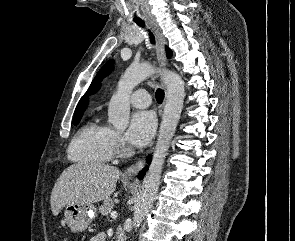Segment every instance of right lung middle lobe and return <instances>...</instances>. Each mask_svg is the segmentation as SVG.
Here are the masks:
<instances>
[{
    "instance_id": "1",
    "label": "right lung middle lobe",
    "mask_w": 295,
    "mask_h": 241,
    "mask_svg": "<svg viewBox=\"0 0 295 241\" xmlns=\"http://www.w3.org/2000/svg\"><path fill=\"white\" fill-rule=\"evenodd\" d=\"M81 117L82 116H79V117H74V121H73V124H78L79 122H80V120H81Z\"/></svg>"
}]
</instances>
